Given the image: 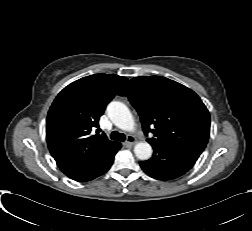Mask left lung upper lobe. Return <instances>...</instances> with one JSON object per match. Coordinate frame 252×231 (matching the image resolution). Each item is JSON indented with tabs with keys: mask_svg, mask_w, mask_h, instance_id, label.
Returning a JSON list of instances; mask_svg holds the SVG:
<instances>
[{
	"mask_svg": "<svg viewBox=\"0 0 252 231\" xmlns=\"http://www.w3.org/2000/svg\"><path fill=\"white\" fill-rule=\"evenodd\" d=\"M140 115L153 144L182 145L203 151L209 139L210 115L191 89L161 76L135 77L120 90Z\"/></svg>",
	"mask_w": 252,
	"mask_h": 231,
	"instance_id": "5c2ea615",
	"label": "left lung upper lobe"
}]
</instances>
